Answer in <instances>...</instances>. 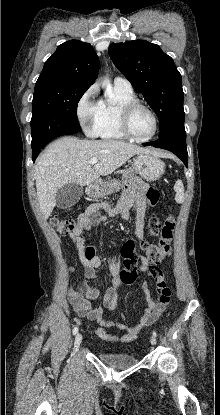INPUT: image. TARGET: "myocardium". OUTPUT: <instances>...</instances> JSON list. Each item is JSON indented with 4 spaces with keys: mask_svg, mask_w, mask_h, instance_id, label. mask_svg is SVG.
<instances>
[{
    "mask_svg": "<svg viewBox=\"0 0 220 415\" xmlns=\"http://www.w3.org/2000/svg\"><path fill=\"white\" fill-rule=\"evenodd\" d=\"M136 108H143L146 111H148L150 113V115L152 116L153 119V123H154V129L153 132L145 137V138H138L135 137L129 128V118L131 113L136 109ZM118 124H119V128L121 130V132L123 133V135L134 141V142H139V143H144L147 142L149 140H151L152 138L155 137V135L157 134L158 131V127H159V121H158V117L157 114L155 113V111L148 106L147 104L140 102L138 100H131L125 104H123L118 111Z\"/></svg>",
    "mask_w": 220,
    "mask_h": 415,
    "instance_id": "myocardium-1",
    "label": "myocardium"
}]
</instances>
